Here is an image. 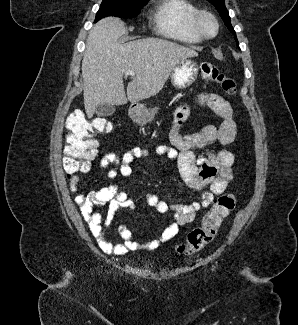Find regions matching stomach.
Instances as JSON below:
<instances>
[{
  "mask_svg": "<svg viewBox=\"0 0 298 325\" xmlns=\"http://www.w3.org/2000/svg\"><path fill=\"white\" fill-rule=\"evenodd\" d=\"M198 72L199 68L195 60H191V58H182L171 72V84H173L175 88H188V86H191V84L195 82ZM158 110L159 106L146 108V106L136 104L130 112V118H132L133 122H137V124H147V122L153 120Z\"/></svg>",
  "mask_w": 298,
  "mask_h": 325,
  "instance_id": "stomach-1",
  "label": "stomach"
}]
</instances>
